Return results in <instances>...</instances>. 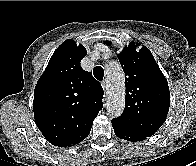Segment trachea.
Here are the masks:
<instances>
[{
    "instance_id": "3493384b",
    "label": "trachea",
    "mask_w": 196,
    "mask_h": 166,
    "mask_svg": "<svg viewBox=\"0 0 196 166\" xmlns=\"http://www.w3.org/2000/svg\"><path fill=\"white\" fill-rule=\"evenodd\" d=\"M93 74L97 80L101 81L104 77V70L101 66H97L94 68Z\"/></svg>"
}]
</instances>
